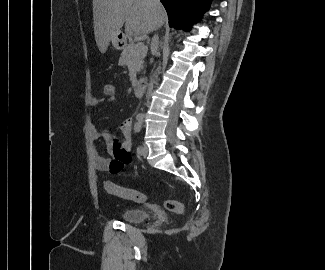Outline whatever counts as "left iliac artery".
<instances>
[{
    "instance_id": "44dca946",
    "label": "left iliac artery",
    "mask_w": 325,
    "mask_h": 270,
    "mask_svg": "<svg viewBox=\"0 0 325 270\" xmlns=\"http://www.w3.org/2000/svg\"><path fill=\"white\" fill-rule=\"evenodd\" d=\"M141 128H142L141 122L136 123L135 126H134V131L136 133H138V132H140ZM141 152H142V146H138L137 147V153L140 154Z\"/></svg>"
}]
</instances>
